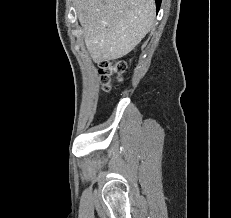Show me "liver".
Masks as SVG:
<instances>
[{
    "instance_id": "6515ba94",
    "label": "liver",
    "mask_w": 231,
    "mask_h": 218,
    "mask_svg": "<svg viewBox=\"0 0 231 218\" xmlns=\"http://www.w3.org/2000/svg\"><path fill=\"white\" fill-rule=\"evenodd\" d=\"M85 44L96 62L121 58L150 31L154 0H75Z\"/></svg>"
}]
</instances>
